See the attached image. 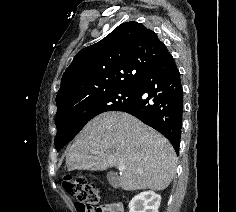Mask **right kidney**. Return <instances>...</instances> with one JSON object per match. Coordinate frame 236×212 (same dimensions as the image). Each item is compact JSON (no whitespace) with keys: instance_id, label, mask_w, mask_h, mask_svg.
Segmentation results:
<instances>
[{"instance_id":"ca27d5eb","label":"right kidney","mask_w":236,"mask_h":212,"mask_svg":"<svg viewBox=\"0 0 236 212\" xmlns=\"http://www.w3.org/2000/svg\"><path fill=\"white\" fill-rule=\"evenodd\" d=\"M161 196L153 191H144L132 198L129 212H158Z\"/></svg>"}]
</instances>
